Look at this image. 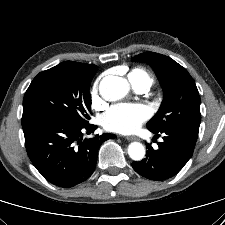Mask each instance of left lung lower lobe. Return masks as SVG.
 I'll return each instance as SVG.
<instances>
[{
    "mask_svg": "<svg viewBox=\"0 0 225 225\" xmlns=\"http://www.w3.org/2000/svg\"><path fill=\"white\" fill-rule=\"evenodd\" d=\"M156 137L163 135V142L154 150L147 144L146 158L133 162V169L141 176L162 181L176 175L191 158L198 133L184 129L166 128L159 132L151 131Z\"/></svg>",
    "mask_w": 225,
    "mask_h": 225,
    "instance_id": "obj_1",
    "label": "left lung lower lobe"
}]
</instances>
